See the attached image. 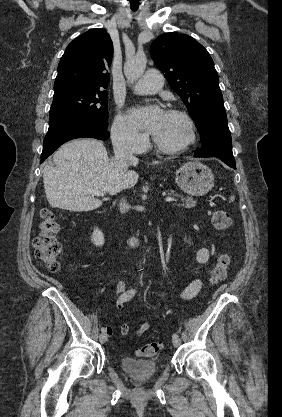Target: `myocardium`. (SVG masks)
<instances>
[{"label":"myocardium","mask_w":282,"mask_h":417,"mask_svg":"<svg viewBox=\"0 0 282 417\" xmlns=\"http://www.w3.org/2000/svg\"><path fill=\"white\" fill-rule=\"evenodd\" d=\"M165 114L173 115L180 118L186 128V135L183 140L175 144H165L161 142L155 135H153L154 143L162 150L166 151H178L181 150L190 144H192L195 140V127L191 117L183 111L170 109L165 112Z\"/></svg>","instance_id":"f54148a6"}]
</instances>
